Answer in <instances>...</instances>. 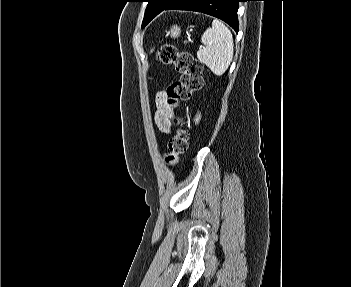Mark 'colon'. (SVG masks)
Returning <instances> with one entry per match:
<instances>
[{
    "label": "colon",
    "mask_w": 351,
    "mask_h": 287,
    "mask_svg": "<svg viewBox=\"0 0 351 287\" xmlns=\"http://www.w3.org/2000/svg\"><path fill=\"white\" fill-rule=\"evenodd\" d=\"M158 58L163 64L172 65L180 74V79L171 83L166 91L168 105L177 109L202 88V65L189 52L180 51L172 45L162 46L158 51ZM173 123L177 128L169 140L165 154V163L168 166H175L188 149L189 133L183 126V119L174 117Z\"/></svg>",
    "instance_id": "obj_1"
}]
</instances>
